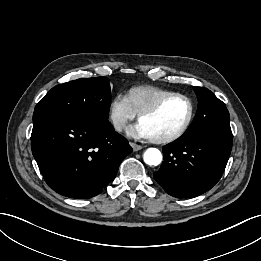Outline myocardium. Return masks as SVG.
Wrapping results in <instances>:
<instances>
[{"label":"myocardium","instance_id":"f54148a6","mask_svg":"<svg viewBox=\"0 0 261 261\" xmlns=\"http://www.w3.org/2000/svg\"><path fill=\"white\" fill-rule=\"evenodd\" d=\"M171 98H180V99H183L184 101L187 102L188 108H189L187 118L184 121V123L182 124V126L177 131H175L174 133L167 135V136H164V137H159V138L150 137V140L153 143L167 144V143H171V142L179 139L181 136H183L185 134V132L188 130V128L190 127V125L192 123V120H193V117H194V104L188 96L180 94V93H169V94L161 97L159 100H157L155 103H153L152 105H150L146 109L142 110L138 114L139 122L141 121V119L143 117L154 114L155 112H157L160 109V107L167 100H169Z\"/></svg>","mask_w":261,"mask_h":261}]
</instances>
